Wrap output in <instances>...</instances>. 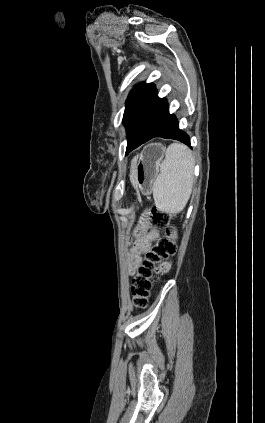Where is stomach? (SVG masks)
Returning <instances> with one entry per match:
<instances>
[{
    "instance_id": "0dacf381",
    "label": "stomach",
    "mask_w": 265,
    "mask_h": 423,
    "mask_svg": "<svg viewBox=\"0 0 265 423\" xmlns=\"http://www.w3.org/2000/svg\"><path fill=\"white\" fill-rule=\"evenodd\" d=\"M165 148L160 143H151L144 147L135 159L136 176L141 183L144 193L150 191L151 183L155 180L159 166L164 158Z\"/></svg>"
}]
</instances>
